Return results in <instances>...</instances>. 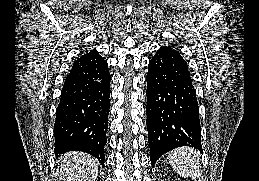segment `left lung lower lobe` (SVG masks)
Wrapping results in <instances>:
<instances>
[{"mask_svg": "<svg viewBox=\"0 0 259 181\" xmlns=\"http://www.w3.org/2000/svg\"><path fill=\"white\" fill-rule=\"evenodd\" d=\"M147 131L152 166L166 152L191 146L202 152L196 91L186 61L161 47L147 73Z\"/></svg>", "mask_w": 259, "mask_h": 181, "instance_id": "left-lung-lower-lobe-1", "label": "left lung lower lobe"}]
</instances>
